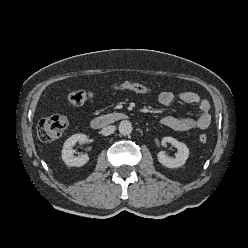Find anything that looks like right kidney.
<instances>
[{
    "label": "right kidney",
    "instance_id": "obj_1",
    "mask_svg": "<svg viewBox=\"0 0 248 248\" xmlns=\"http://www.w3.org/2000/svg\"><path fill=\"white\" fill-rule=\"evenodd\" d=\"M87 140V136L85 134H75L69 137L62 149V160L66 165L71 167H81L85 165L89 161V157L87 154H81L80 156H74L73 146L77 143H84Z\"/></svg>",
    "mask_w": 248,
    "mask_h": 248
}]
</instances>
